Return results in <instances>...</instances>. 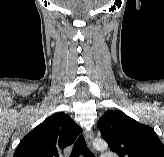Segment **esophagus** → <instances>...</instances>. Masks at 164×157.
<instances>
[{"label": "esophagus", "mask_w": 164, "mask_h": 157, "mask_svg": "<svg viewBox=\"0 0 164 157\" xmlns=\"http://www.w3.org/2000/svg\"><path fill=\"white\" fill-rule=\"evenodd\" d=\"M85 137H86V140H87L88 144L91 146L93 138H94L93 131H86L85 132Z\"/></svg>", "instance_id": "34e87169"}]
</instances>
